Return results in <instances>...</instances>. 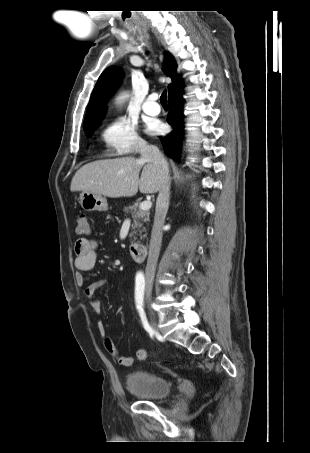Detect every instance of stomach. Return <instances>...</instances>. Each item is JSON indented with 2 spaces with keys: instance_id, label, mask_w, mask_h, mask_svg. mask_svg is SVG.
<instances>
[{
  "instance_id": "1",
  "label": "stomach",
  "mask_w": 310,
  "mask_h": 453,
  "mask_svg": "<svg viewBox=\"0 0 310 453\" xmlns=\"http://www.w3.org/2000/svg\"><path fill=\"white\" fill-rule=\"evenodd\" d=\"M80 205L87 211H106L108 209L107 200L102 195L82 192L80 194Z\"/></svg>"
}]
</instances>
